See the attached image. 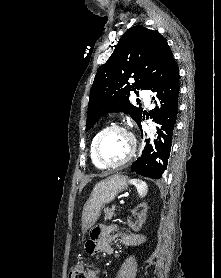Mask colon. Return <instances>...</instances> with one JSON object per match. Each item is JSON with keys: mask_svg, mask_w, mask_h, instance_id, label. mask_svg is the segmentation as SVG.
<instances>
[{"mask_svg": "<svg viewBox=\"0 0 221 278\" xmlns=\"http://www.w3.org/2000/svg\"><path fill=\"white\" fill-rule=\"evenodd\" d=\"M68 278H88V269L83 265L76 264L70 268Z\"/></svg>", "mask_w": 221, "mask_h": 278, "instance_id": "1", "label": "colon"}]
</instances>
